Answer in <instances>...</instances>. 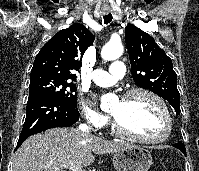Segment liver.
Here are the masks:
<instances>
[{
    "mask_svg": "<svg viewBox=\"0 0 199 171\" xmlns=\"http://www.w3.org/2000/svg\"><path fill=\"white\" fill-rule=\"evenodd\" d=\"M129 146L76 128H52L24 141L13 158V171H64L71 163L87 167L95 160L93 153H116Z\"/></svg>",
    "mask_w": 199,
    "mask_h": 171,
    "instance_id": "liver-1",
    "label": "liver"
}]
</instances>
